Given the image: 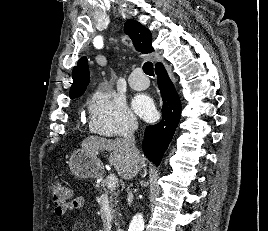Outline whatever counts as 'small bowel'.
<instances>
[{
	"label": "small bowel",
	"instance_id": "small-bowel-1",
	"mask_svg": "<svg viewBox=\"0 0 268 231\" xmlns=\"http://www.w3.org/2000/svg\"><path fill=\"white\" fill-rule=\"evenodd\" d=\"M84 204H85V197L83 195H78L69 202L68 208L66 210L56 208L54 210V214L56 216H63L67 210L70 211L79 210L84 206Z\"/></svg>",
	"mask_w": 268,
	"mask_h": 231
}]
</instances>
